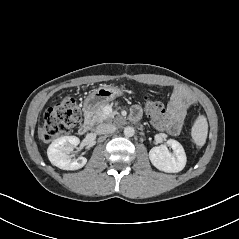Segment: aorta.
<instances>
[{
    "label": "aorta",
    "mask_w": 239,
    "mask_h": 239,
    "mask_svg": "<svg viewBox=\"0 0 239 239\" xmlns=\"http://www.w3.org/2000/svg\"><path fill=\"white\" fill-rule=\"evenodd\" d=\"M134 133H135V130L133 127L127 126L124 128V135L126 137H132L134 135Z\"/></svg>",
    "instance_id": "1"
}]
</instances>
